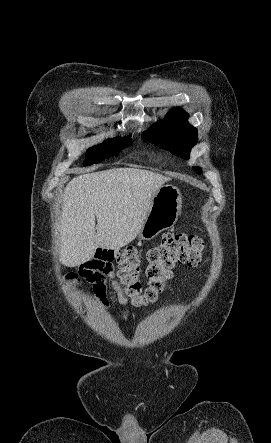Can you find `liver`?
I'll return each instance as SVG.
<instances>
[{
	"mask_svg": "<svg viewBox=\"0 0 271 443\" xmlns=\"http://www.w3.org/2000/svg\"><path fill=\"white\" fill-rule=\"evenodd\" d=\"M169 180L135 168L73 178L64 190L58 227L61 263L80 265L92 259L97 247L118 249L130 243L146 220L157 190Z\"/></svg>",
	"mask_w": 271,
	"mask_h": 443,
	"instance_id": "6515ba94",
	"label": "liver"
}]
</instances>
